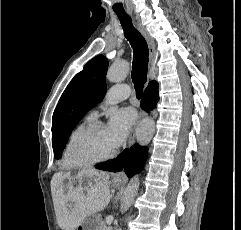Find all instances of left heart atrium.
<instances>
[{"instance_id": "1", "label": "left heart atrium", "mask_w": 241, "mask_h": 230, "mask_svg": "<svg viewBox=\"0 0 241 230\" xmlns=\"http://www.w3.org/2000/svg\"><path fill=\"white\" fill-rule=\"evenodd\" d=\"M135 116L131 109H121L112 113L106 127V134L111 146L116 149L120 147L134 124Z\"/></svg>"}]
</instances>
